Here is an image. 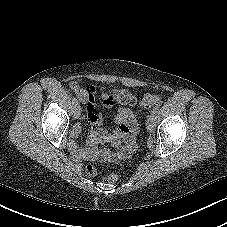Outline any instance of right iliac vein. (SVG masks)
Masks as SVG:
<instances>
[{
    "instance_id": "1",
    "label": "right iliac vein",
    "mask_w": 227,
    "mask_h": 227,
    "mask_svg": "<svg viewBox=\"0 0 227 227\" xmlns=\"http://www.w3.org/2000/svg\"><path fill=\"white\" fill-rule=\"evenodd\" d=\"M81 115V107L79 104L75 105V108H74V118L77 119L79 118Z\"/></svg>"
}]
</instances>
